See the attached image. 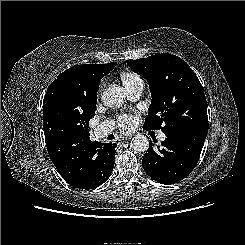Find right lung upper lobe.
I'll return each instance as SVG.
<instances>
[{
  "label": "right lung upper lobe",
  "mask_w": 245,
  "mask_h": 245,
  "mask_svg": "<svg viewBox=\"0 0 245 245\" xmlns=\"http://www.w3.org/2000/svg\"><path fill=\"white\" fill-rule=\"evenodd\" d=\"M116 62L77 65L62 72L48 87L43 101L45 140L79 142L88 136V122L95 115L101 78Z\"/></svg>",
  "instance_id": "cb5924a9"
}]
</instances>
